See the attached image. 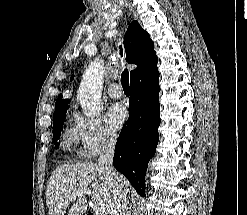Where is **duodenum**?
Returning a JSON list of instances; mask_svg holds the SVG:
<instances>
[{"label": "duodenum", "mask_w": 247, "mask_h": 215, "mask_svg": "<svg viewBox=\"0 0 247 215\" xmlns=\"http://www.w3.org/2000/svg\"><path fill=\"white\" fill-rule=\"evenodd\" d=\"M87 215H94V213H88Z\"/></svg>", "instance_id": "obj_1"}]
</instances>
